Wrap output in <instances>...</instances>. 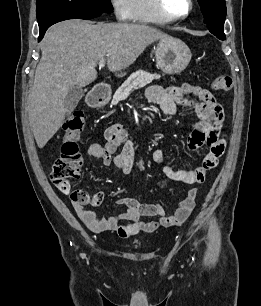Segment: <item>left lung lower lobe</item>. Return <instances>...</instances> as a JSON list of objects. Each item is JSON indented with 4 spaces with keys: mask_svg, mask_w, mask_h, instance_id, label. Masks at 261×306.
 Listing matches in <instances>:
<instances>
[{
    "mask_svg": "<svg viewBox=\"0 0 261 306\" xmlns=\"http://www.w3.org/2000/svg\"><path fill=\"white\" fill-rule=\"evenodd\" d=\"M215 36L218 37L220 40H225V35L224 34L223 35L217 34Z\"/></svg>",
    "mask_w": 261,
    "mask_h": 306,
    "instance_id": "0a47b994",
    "label": "left lung lower lobe"
}]
</instances>
